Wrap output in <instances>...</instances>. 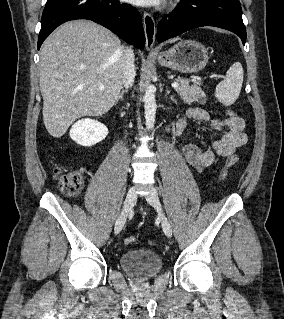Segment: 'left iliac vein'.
<instances>
[{
	"label": "left iliac vein",
	"instance_id": "1",
	"mask_svg": "<svg viewBox=\"0 0 284 319\" xmlns=\"http://www.w3.org/2000/svg\"><path fill=\"white\" fill-rule=\"evenodd\" d=\"M146 200L159 213L160 218H161V225H162L163 231H164L165 235L170 238L172 236V228H171V225H170L168 219L166 218V216L163 212L158 193L154 188L150 189V192L146 195Z\"/></svg>",
	"mask_w": 284,
	"mask_h": 319
}]
</instances>
